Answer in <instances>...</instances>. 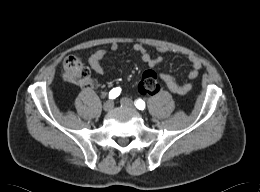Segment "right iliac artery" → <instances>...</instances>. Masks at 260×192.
<instances>
[{
  "label": "right iliac artery",
  "mask_w": 260,
  "mask_h": 192,
  "mask_svg": "<svg viewBox=\"0 0 260 192\" xmlns=\"http://www.w3.org/2000/svg\"><path fill=\"white\" fill-rule=\"evenodd\" d=\"M121 93V88L117 87V88H113L110 93H109V98L110 99H115L116 97H118Z\"/></svg>",
  "instance_id": "82829eb1"
}]
</instances>
